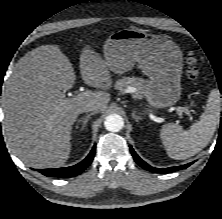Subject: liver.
I'll return each mask as SVG.
<instances>
[{
    "instance_id": "6515ba94",
    "label": "liver",
    "mask_w": 222,
    "mask_h": 219,
    "mask_svg": "<svg viewBox=\"0 0 222 219\" xmlns=\"http://www.w3.org/2000/svg\"><path fill=\"white\" fill-rule=\"evenodd\" d=\"M83 81L107 90L109 66L86 45L80 55ZM76 80L74 68L58 45H42L15 65L3 96L4 129L13 153L28 167L54 168L71 152L72 125L84 106L99 103L105 111L110 94L97 91L83 98H65Z\"/></svg>"
}]
</instances>
